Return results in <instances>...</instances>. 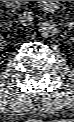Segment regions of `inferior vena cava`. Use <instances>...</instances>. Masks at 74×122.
<instances>
[{
    "instance_id": "602c4592",
    "label": "inferior vena cava",
    "mask_w": 74,
    "mask_h": 122,
    "mask_svg": "<svg viewBox=\"0 0 74 122\" xmlns=\"http://www.w3.org/2000/svg\"><path fill=\"white\" fill-rule=\"evenodd\" d=\"M34 21V16L32 12L24 11L19 15V22L24 25H32Z\"/></svg>"
}]
</instances>
